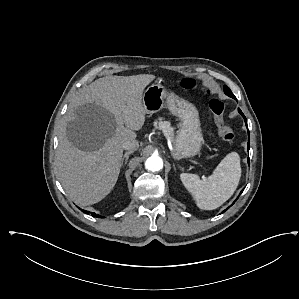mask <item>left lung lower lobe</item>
<instances>
[{
	"label": "left lung lower lobe",
	"mask_w": 299,
	"mask_h": 299,
	"mask_svg": "<svg viewBox=\"0 0 299 299\" xmlns=\"http://www.w3.org/2000/svg\"><path fill=\"white\" fill-rule=\"evenodd\" d=\"M234 99H236L235 96H233ZM239 113L243 116L244 120H245V123H246V126H247V120H246V117L244 116V114L242 113V111L240 109H238ZM248 135H249V131H248ZM248 150L250 148V138H248ZM248 163H249V158H248ZM244 190V189H243ZM243 190L241 191V193L243 192Z\"/></svg>",
	"instance_id": "0a47b994"
}]
</instances>
